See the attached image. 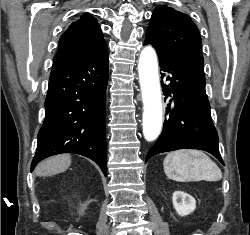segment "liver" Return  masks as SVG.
Here are the masks:
<instances>
[{"label":"liver","mask_w":250,"mask_h":235,"mask_svg":"<svg viewBox=\"0 0 250 235\" xmlns=\"http://www.w3.org/2000/svg\"><path fill=\"white\" fill-rule=\"evenodd\" d=\"M70 164V155H58L41 162L35 172L38 176H52L66 171Z\"/></svg>","instance_id":"1"}]
</instances>
